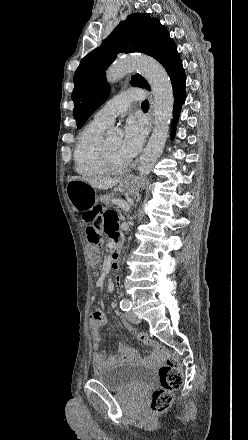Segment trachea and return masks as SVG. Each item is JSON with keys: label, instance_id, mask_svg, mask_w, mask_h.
<instances>
[{"label": "trachea", "instance_id": "obj_1", "mask_svg": "<svg viewBox=\"0 0 248 440\" xmlns=\"http://www.w3.org/2000/svg\"><path fill=\"white\" fill-rule=\"evenodd\" d=\"M142 109H148L149 108V102L147 100H144L141 104Z\"/></svg>", "mask_w": 248, "mask_h": 440}]
</instances>
